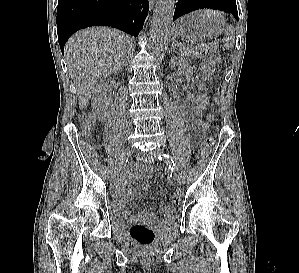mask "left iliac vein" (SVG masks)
Returning <instances> with one entry per match:
<instances>
[{
  "label": "left iliac vein",
  "instance_id": "4c4485c4",
  "mask_svg": "<svg viewBox=\"0 0 299 273\" xmlns=\"http://www.w3.org/2000/svg\"><path fill=\"white\" fill-rule=\"evenodd\" d=\"M161 153H162V150L155 149V150L151 151L149 154L151 156H156L157 154H161ZM173 179L177 185H180L182 182L180 175L176 172H174V174H173Z\"/></svg>",
  "mask_w": 299,
  "mask_h": 273
}]
</instances>
